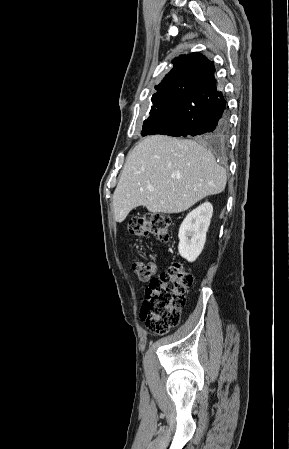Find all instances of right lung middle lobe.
I'll list each match as a JSON object with an SVG mask.
<instances>
[{
	"label": "right lung middle lobe",
	"instance_id": "1",
	"mask_svg": "<svg viewBox=\"0 0 289 449\" xmlns=\"http://www.w3.org/2000/svg\"><path fill=\"white\" fill-rule=\"evenodd\" d=\"M150 116L143 123L142 136L154 134L161 124L170 122L175 118L172 101L169 93L152 96Z\"/></svg>",
	"mask_w": 289,
	"mask_h": 449
}]
</instances>
